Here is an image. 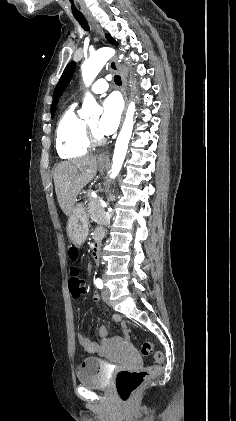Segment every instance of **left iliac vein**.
<instances>
[{
	"label": "left iliac vein",
	"mask_w": 236,
	"mask_h": 421,
	"mask_svg": "<svg viewBox=\"0 0 236 421\" xmlns=\"http://www.w3.org/2000/svg\"><path fill=\"white\" fill-rule=\"evenodd\" d=\"M102 298H103V301L105 303H107L108 305H111L110 291L108 289H103L102 290Z\"/></svg>",
	"instance_id": "left-iliac-vein-1"
}]
</instances>
